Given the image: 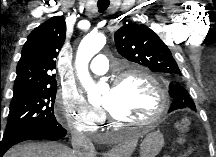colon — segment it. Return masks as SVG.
<instances>
[{"instance_id":"obj_1","label":"colon","mask_w":216,"mask_h":157,"mask_svg":"<svg viewBox=\"0 0 216 157\" xmlns=\"http://www.w3.org/2000/svg\"><path fill=\"white\" fill-rule=\"evenodd\" d=\"M191 125V118L190 117H182L180 119L177 120L176 122V129L179 135V138L181 141L184 140L186 134L189 131Z\"/></svg>"}]
</instances>
